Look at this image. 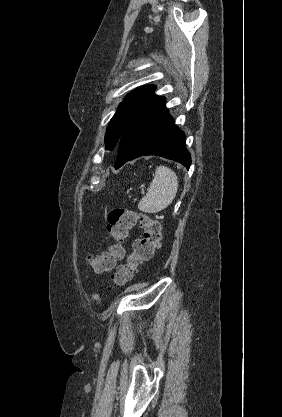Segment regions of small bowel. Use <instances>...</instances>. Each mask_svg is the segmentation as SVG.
I'll list each match as a JSON object with an SVG mask.
<instances>
[{
  "label": "small bowel",
  "mask_w": 282,
  "mask_h": 417,
  "mask_svg": "<svg viewBox=\"0 0 282 417\" xmlns=\"http://www.w3.org/2000/svg\"><path fill=\"white\" fill-rule=\"evenodd\" d=\"M121 254H122V256H123V253H121ZM91 301H92V303L99 304V302H100L99 295H98V294H93V295H92V298H91Z\"/></svg>",
  "instance_id": "small-bowel-1"
}]
</instances>
